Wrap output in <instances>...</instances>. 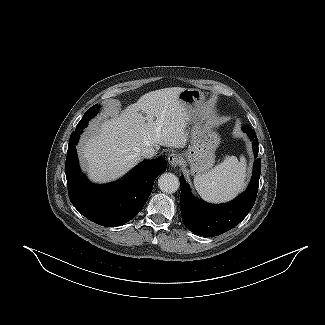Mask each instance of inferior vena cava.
<instances>
[{"label":"inferior vena cava","mask_w":325,"mask_h":325,"mask_svg":"<svg viewBox=\"0 0 325 325\" xmlns=\"http://www.w3.org/2000/svg\"><path fill=\"white\" fill-rule=\"evenodd\" d=\"M140 155L143 158L151 159L155 155V150L153 148H144L140 151Z\"/></svg>","instance_id":"602c4592"}]
</instances>
